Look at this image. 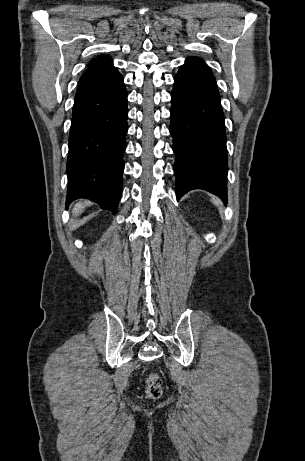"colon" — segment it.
<instances>
[{"label":"colon","mask_w":305,"mask_h":461,"mask_svg":"<svg viewBox=\"0 0 305 461\" xmlns=\"http://www.w3.org/2000/svg\"><path fill=\"white\" fill-rule=\"evenodd\" d=\"M146 394L151 399H157L162 394V379L157 373H150L146 378Z\"/></svg>","instance_id":"5ec220e1"}]
</instances>
